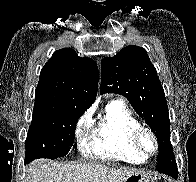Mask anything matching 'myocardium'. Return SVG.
<instances>
[{
    "instance_id": "obj_1",
    "label": "myocardium",
    "mask_w": 196,
    "mask_h": 182,
    "mask_svg": "<svg viewBox=\"0 0 196 182\" xmlns=\"http://www.w3.org/2000/svg\"><path fill=\"white\" fill-rule=\"evenodd\" d=\"M149 137L152 141V147L146 149L143 144L144 137ZM132 144L134 148L143 156L149 157L155 154L159 148V142L153 130L145 126H139L132 134Z\"/></svg>"
}]
</instances>
